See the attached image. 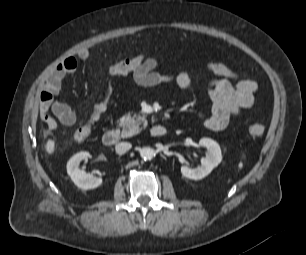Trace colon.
<instances>
[{
  "label": "colon",
  "instance_id": "obj_1",
  "mask_svg": "<svg viewBox=\"0 0 306 255\" xmlns=\"http://www.w3.org/2000/svg\"><path fill=\"white\" fill-rule=\"evenodd\" d=\"M145 59L146 57L144 55H136L134 57L116 60L109 66V73L117 76L132 73L144 63ZM109 97L110 90L107 88L102 99L93 106L88 122L74 133L76 142H84L90 136L94 125L107 108ZM248 133L252 137H260L264 133V126L259 123H253L248 126Z\"/></svg>",
  "mask_w": 306,
  "mask_h": 255
}]
</instances>
